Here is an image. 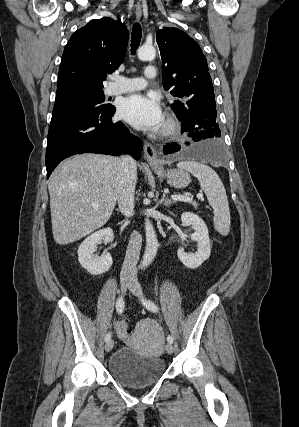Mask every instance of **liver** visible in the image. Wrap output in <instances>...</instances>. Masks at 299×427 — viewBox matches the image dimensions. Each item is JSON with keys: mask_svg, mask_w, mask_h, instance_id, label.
Here are the masks:
<instances>
[{"mask_svg": "<svg viewBox=\"0 0 299 427\" xmlns=\"http://www.w3.org/2000/svg\"><path fill=\"white\" fill-rule=\"evenodd\" d=\"M120 166L117 157L85 153L56 168L48 183L56 243H72L107 223L117 201Z\"/></svg>", "mask_w": 299, "mask_h": 427, "instance_id": "1", "label": "liver"}]
</instances>
